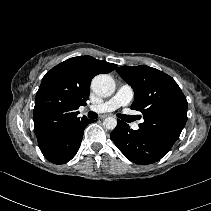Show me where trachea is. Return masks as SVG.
Segmentation results:
<instances>
[{
	"instance_id": "trachea-1",
	"label": "trachea",
	"mask_w": 211,
	"mask_h": 211,
	"mask_svg": "<svg viewBox=\"0 0 211 211\" xmlns=\"http://www.w3.org/2000/svg\"><path fill=\"white\" fill-rule=\"evenodd\" d=\"M88 117H89L90 119H96V118L98 117V114L95 113V112H89V113H88Z\"/></svg>"
}]
</instances>
